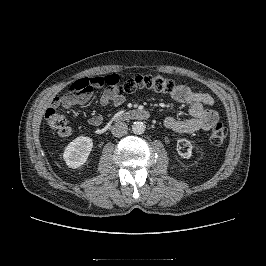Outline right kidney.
Here are the masks:
<instances>
[{
    "label": "right kidney",
    "instance_id": "obj_1",
    "mask_svg": "<svg viewBox=\"0 0 266 266\" xmlns=\"http://www.w3.org/2000/svg\"><path fill=\"white\" fill-rule=\"evenodd\" d=\"M92 139L85 136H79L68 144L63 153V159L69 168H78L88 159L92 150Z\"/></svg>",
    "mask_w": 266,
    "mask_h": 266
}]
</instances>
